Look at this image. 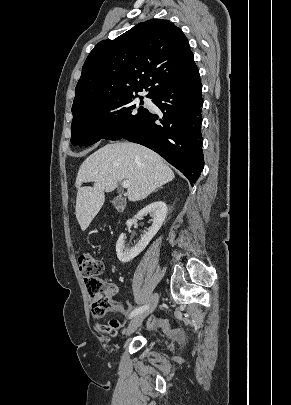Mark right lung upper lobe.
Here are the masks:
<instances>
[{"label": "right lung upper lobe", "instance_id": "right-lung-upper-lobe-1", "mask_svg": "<svg viewBox=\"0 0 291 405\" xmlns=\"http://www.w3.org/2000/svg\"><path fill=\"white\" fill-rule=\"evenodd\" d=\"M198 73L182 30L168 20L151 19L94 47L75 88L72 113L143 90L151 98L161 87Z\"/></svg>", "mask_w": 291, "mask_h": 405}]
</instances>
